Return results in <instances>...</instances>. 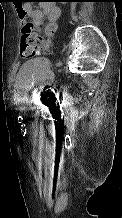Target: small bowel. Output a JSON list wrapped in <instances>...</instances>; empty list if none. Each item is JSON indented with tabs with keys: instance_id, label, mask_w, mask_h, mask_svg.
I'll list each match as a JSON object with an SVG mask.
<instances>
[{
	"instance_id": "c3829d8e",
	"label": "small bowel",
	"mask_w": 122,
	"mask_h": 218,
	"mask_svg": "<svg viewBox=\"0 0 122 218\" xmlns=\"http://www.w3.org/2000/svg\"><path fill=\"white\" fill-rule=\"evenodd\" d=\"M22 12L25 13V17H29L36 28H39L44 20V16L48 17L49 22H54L59 18L60 10L53 3V0H43L39 8H32L30 5L20 6L18 8L19 18L22 24H24L25 17L22 16Z\"/></svg>"
}]
</instances>
